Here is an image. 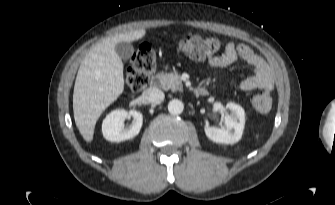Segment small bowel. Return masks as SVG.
Returning a JSON list of instances; mask_svg holds the SVG:
<instances>
[{"label": "small bowel", "instance_id": "obj_1", "mask_svg": "<svg viewBox=\"0 0 335 205\" xmlns=\"http://www.w3.org/2000/svg\"><path fill=\"white\" fill-rule=\"evenodd\" d=\"M237 59L245 61L253 68V73L241 82L240 88L242 90L250 91L254 89H269L271 87V79L264 61L245 44H227L224 53L212 58L209 63L213 67L224 68L234 63Z\"/></svg>", "mask_w": 335, "mask_h": 205}]
</instances>
